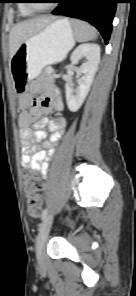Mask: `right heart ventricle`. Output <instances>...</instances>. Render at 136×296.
<instances>
[{"instance_id": "right-heart-ventricle-1", "label": "right heart ventricle", "mask_w": 136, "mask_h": 296, "mask_svg": "<svg viewBox=\"0 0 136 296\" xmlns=\"http://www.w3.org/2000/svg\"><path fill=\"white\" fill-rule=\"evenodd\" d=\"M19 10L23 16H32L34 11L31 10L26 3H21L19 6Z\"/></svg>"}]
</instances>
